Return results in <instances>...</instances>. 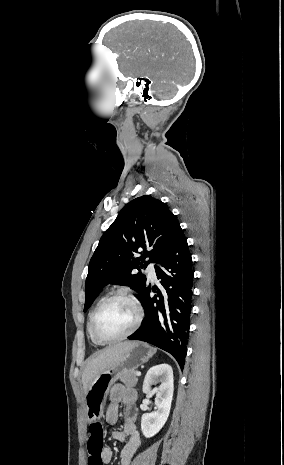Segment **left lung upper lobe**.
I'll list each match as a JSON object with an SVG mask.
<instances>
[{
	"mask_svg": "<svg viewBox=\"0 0 284 465\" xmlns=\"http://www.w3.org/2000/svg\"><path fill=\"white\" fill-rule=\"evenodd\" d=\"M180 228L176 216L165 203L150 195L127 203L116 220L101 237L86 278V311L100 290L109 283L130 286L139 295L146 276L133 269L146 268L156 262L171 245ZM140 253L141 257H136ZM149 257L148 261L145 259Z\"/></svg>",
	"mask_w": 284,
	"mask_h": 465,
	"instance_id": "obj_1",
	"label": "left lung upper lobe"
}]
</instances>
